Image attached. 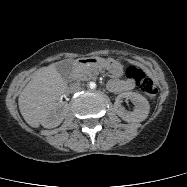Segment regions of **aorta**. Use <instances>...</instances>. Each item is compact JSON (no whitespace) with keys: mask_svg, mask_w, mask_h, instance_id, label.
<instances>
[{"mask_svg":"<svg viewBox=\"0 0 187 187\" xmlns=\"http://www.w3.org/2000/svg\"><path fill=\"white\" fill-rule=\"evenodd\" d=\"M89 86H90L91 89H95L96 88V84L94 82H91L89 84Z\"/></svg>","mask_w":187,"mask_h":187,"instance_id":"762f6f07","label":"aorta"}]
</instances>
